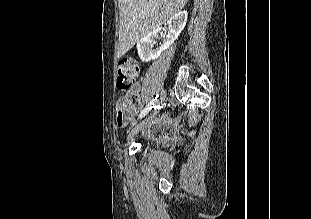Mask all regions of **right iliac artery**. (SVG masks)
I'll use <instances>...</instances> for the list:
<instances>
[{"mask_svg":"<svg viewBox=\"0 0 311 219\" xmlns=\"http://www.w3.org/2000/svg\"><path fill=\"white\" fill-rule=\"evenodd\" d=\"M154 105V99L150 101V103L142 110L140 114V118L144 117L153 107Z\"/></svg>","mask_w":311,"mask_h":219,"instance_id":"obj_1","label":"right iliac artery"}]
</instances>
